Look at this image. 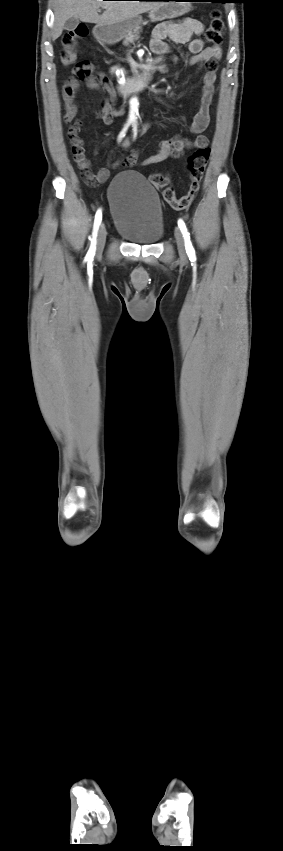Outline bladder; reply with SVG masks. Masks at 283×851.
Returning a JSON list of instances; mask_svg holds the SVG:
<instances>
[{
	"label": "bladder",
	"instance_id": "obj_1",
	"mask_svg": "<svg viewBox=\"0 0 283 851\" xmlns=\"http://www.w3.org/2000/svg\"><path fill=\"white\" fill-rule=\"evenodd\" d=\"M108 199L116 231L137 244H155L164 234L159 195L140 174L119 173L108 187Z\"/></svg>",
	"mask_w": 283,
	"mask_h": 851
}]
</instances>
